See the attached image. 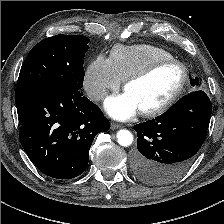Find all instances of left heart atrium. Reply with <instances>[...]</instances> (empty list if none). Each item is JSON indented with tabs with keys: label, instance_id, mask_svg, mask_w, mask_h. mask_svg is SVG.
<instances>
[{
	"label": "left heart atrium",
	"instance_id": "obj_1",
	"mask_svg": "<svg viewBox=\"0 0 224 224\" xmlns=\"http://www.w3.org/2000/svg\"><path fill=\"white\" fill-rule=\"evenodd\" d=\"M104 108L112 118L117 120H128L139 111L136 101L127 92L109 97L105 101Z\"/></svg>",
	"mask_w": 224,
	"mask_h": 224
}]
</instances>
